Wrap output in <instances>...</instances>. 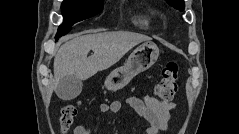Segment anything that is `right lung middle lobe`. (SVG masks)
<instances>
[{
  "instance_id": "1",
  "label": "right lung middle lobe",
  "mask_w": 239,
  "mask_h": 134,
  "mask_svg": "<svg viewBox=\"0 0 239 134\" xmlns=\"http://www.w3.org/2000/svg\"><path fill=\"white\" fill-rule=\"evenodd\" d=\"M61 8L64 22L58 28L56 40L67 34L75 23L102 11L103 0H64Z\"/></svg>"
}]
</instances>
